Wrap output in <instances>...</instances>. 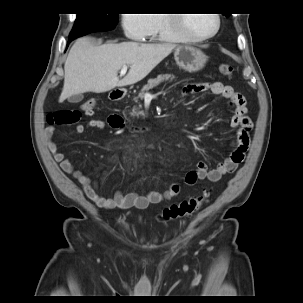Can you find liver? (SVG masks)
<instances>
[{
    "mask_svg": "<svg viewBox=\"0 0 303 303\" xmlns=\"http://www.w3.org/2000/svg\"><path fill=\"white\" fill-rule=\"evenodd\" d=\"M176 45L172 43H107L94 45L90 38L77 39L65 61L64 86L59 102L85 92L102 93L145 78ZM130 66L119 79L118 71Z\"/></svg>",
    "mask_w": 303,
    "mask_h": 303,
    "instance_id": "6515ba94",
    "label": "liver"
}]
</instances>
